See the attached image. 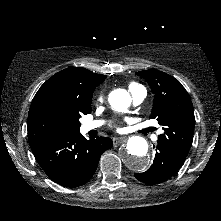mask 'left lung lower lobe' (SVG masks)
<instances>
[{"label": "left lung lower lobe", "instance_id": "0a47b994", "mask_svg": "<svg viewBox=\"0 0 221 221\" xmlns=\"http://www.w3.org/2000/svg\"><path fill=\"white\" fill-rule=\"evenodd\" d=\"M154 148L156 154L151 167L144 173L134 175L138 180L147 184H158L168 180L183 165L160 145Z\"/></svg>", "mask_w": 221, "mask_h": 221}]
</instances>
